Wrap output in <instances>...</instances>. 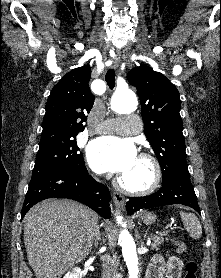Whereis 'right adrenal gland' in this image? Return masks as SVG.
<instances>
[{
    "mask_svg": "<svg viewBox=\"0 0 221 278\" xmlns=\"http://www.w3.org/2000/svg\"><path fill=\"white\" fill-rule=\"evenodd\" d=\"M101 240V235H100V231L99 228L97 229V233H96V238L94 240V245L97 246L98 245V241Z\"/></svg>",
    "mask_w": 221,
    "mask_h": 278,
    "instance_id": "1",
    "label": "right adrenal gland"
}]
</instances>
